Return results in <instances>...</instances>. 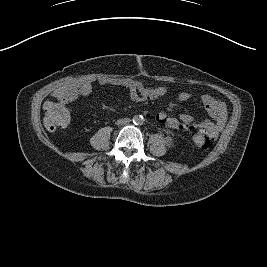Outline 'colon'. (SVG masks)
Wrapping results in <instances>:
<instances>
[{"label": "colon", "mask_w": 267, "mask_h": 267, "mask_svg": "<svg viewBox=\"0 0 267 267\" xmlns=\"http://www.w3.org/2000/svg\"><path fill=\"white\" fill-rule=\"evenodd\" d=\"M43 122L48 130L56 131L67 127L70 118L68 113L59 103L48 101L43 104ZM213 140V137L208 133L199 131L192 137L193 145L199 149L209 148Z\"/></svg>", "instance_id": "5ec220e1"}]
</instances>
